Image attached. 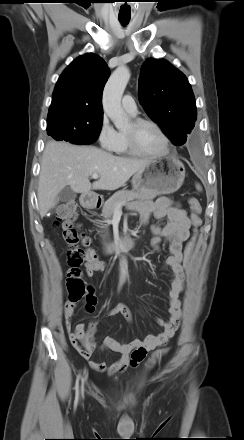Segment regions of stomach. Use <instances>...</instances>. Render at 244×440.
<instances>
[{
    "label": "stomach",
    "mask_w": 244,
    "mask_h": 440,
    "mask_svg": "<svg viewBox=\"0 0 244 440\" xmlns=\"http://www.w3.org/2000/svg\"><path fill=\"white\" fill-rule=\"evenodd\" d=\"M185 179L183 163L173 156L152 159L132 177L134 191L148 195H168L176 192Z\"/></svg>",
    "instance_id": "0dacf381"
}]
</instances>
